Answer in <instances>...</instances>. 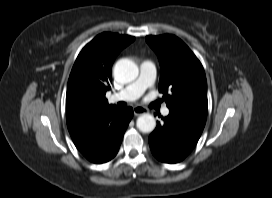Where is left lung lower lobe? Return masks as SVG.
<instances>
[{"label":"left lung lower lobe","mask_w":272,"mask_h":198,"mask_svg":"<svg viewBox=\"0 0 272 198\" xmlns=\"http://www.w3.org/2000/svg\"><path fill=\"white\" fill-rule=\"evenodd\" d=\"M163 123L157 122L149 136L153 155L164 163L182 161L195 147L206 118L179 110H170Z\"/></svg>","instance_id":"0a47b994"}]
</instances>
